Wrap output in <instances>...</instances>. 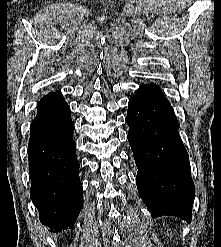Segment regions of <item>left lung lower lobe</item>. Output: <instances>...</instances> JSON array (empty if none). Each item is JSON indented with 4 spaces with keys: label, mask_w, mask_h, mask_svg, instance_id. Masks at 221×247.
<instances>
[{
    "label": "left lung lower lobe",
    "mask_w": 221,
    "mask_h": 247,
    "mask_svg": "<svg viewBox=\"0 0 221 247\" xmlns=\"http://www.w3.org/2000/svg\"><path fill=\"white\" fill-rule=\"evenodd\" d=\"M135 94L126 122L140 197L152 218L177 216L190 223L195 187L173 108L168 100L140 89Z\"/></svg>",
    "instance_id": "obj_1"
}]
</instances>
